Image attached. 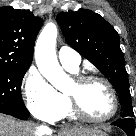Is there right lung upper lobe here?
Segmentation results:
<instances>
[{"mask_svg":"<svg viewBox=\"0 0 136 136\" xmlns=\"http://www.w3.org/2000/svg\"><path fill=\"white\" fill-rule=\"evenodd\" d=\"M42 20L28 10L0 8V66L29 67Z\"/></svg>","mask_w":136,"mask_h":136,"instance_id":"right-lung-upper-lobe-1","label":"right lung upper lobe"}]
</instances>
